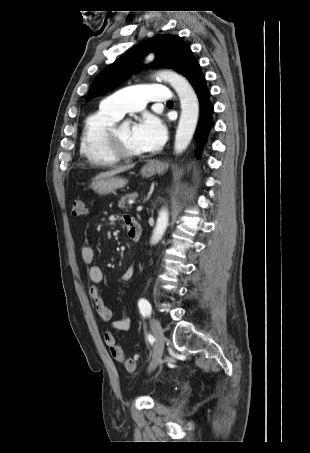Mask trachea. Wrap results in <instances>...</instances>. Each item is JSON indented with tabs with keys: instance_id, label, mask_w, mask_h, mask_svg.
I'll return each mask as SVG.
<instances>
[{
	"instance_id": "3493384b",
	"label": "trachea",
	"mask_w": 310,
	"mask_h": 453,
	"mask_svg": "<svg viewBox=\"0 0 310 453\" xmlns=\"http://www.w3.org/2000/svg\"><path fill=\"white\" fill-rule=\"evenodd\" d=\"M166 104H167V105L173 104V101L170 100V101H168Z\"/></svg>"
}]
</instances>
